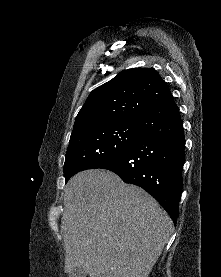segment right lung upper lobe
<instances>
[{
    "instance_id": "1",
    "label": "right lung upper lobe",
    "mask_w": 221,
    "mask_h": 277,
    "mask_svg": "<svg viewBox=\"0 0 221 277\" xmlns=\"http://www.w3.org/2000/svg\"><path fill=\"white\" fill-rule=\"evenodd\" d=\"M172 98L156 70H124L91 92L76 116L71 136L96 126L137 121Z\"/></svg>"
}]
</instances>
